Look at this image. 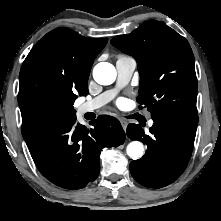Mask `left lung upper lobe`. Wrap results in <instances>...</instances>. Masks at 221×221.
Masks as SVG:
<instances>
[{
	"label": "left lung upper lobe",
	"mask_w": 221,
	"mask_h": 221,
	"mask_svg": "<svg viewBox=\"0 0 221 221\" xmlns=\"http://www.w3.org/2000/svg\"><path fill=\"white\" fill-rule=\"evenodd\" d=\"M111 44L136 59L140 74L137 102L151 116L198 123L194 55L184 37L165 23L150 20L131 34L114 37Z\"/></svg>",
	"instance_id": "5c2ea615"
}]
</instances>
